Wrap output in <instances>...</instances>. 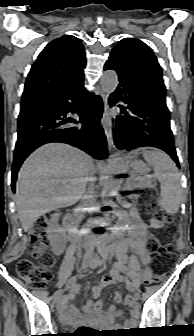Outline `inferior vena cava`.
I'll list each match as a JSON object with an SVG mask.
<instances>
[{
	"instance_id": "1",
	"label": "inferior vena cava",
	"mask_w": 194,
	"mask_h": 336,
	"mask_svg": "<svg viewBox=\"0 0 194 336\" xmlns=\"http://www.w3.org/2000/svg\"><path fill=\"white\" fill-rule=\"evenodd\" d=\"M97 166L98 165H97L96 162H91L88 169L92 174L97 175V172H96ZM93 181H94V178L89 179L90 184L88 186V189L86 190V194H85L84 199H83V203L86 206H96V204H97L96 199L93 195V193H94Z\"/></svg>"
}]
</instances>
